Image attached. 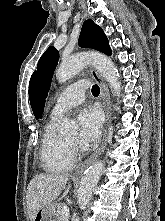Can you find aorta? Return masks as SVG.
I'll list each match as a JSON object with an SVG mask.
<instances>
[{
	"mask_svg": "<svg viewBox=\"0 0 165 221\" xmlns=\"http://www.w3.org/2000/svg\"><path fill=\"white\" fill-rule=\"evenodd\" d=\"M87 64L94 65L98 72L105 78L110 85L112 92L119 96L121 83L119 81V72L114 63L107 56L99 53L79 54L67 60H64L56 70V78L60 83L78 74ZM77 129V124L69 118H64L61 122L60 130L62 133H71ZM104 164L101 161L94 163L84 173L78 189L77 203L80 209H85L88 205L94 187L97 185Z\"/></svg>",
	"mask_w": 165,
	"mask_h": 221,
	"instance_id": "aorta-1",
	"label": "aorta"
}]
</instances>
